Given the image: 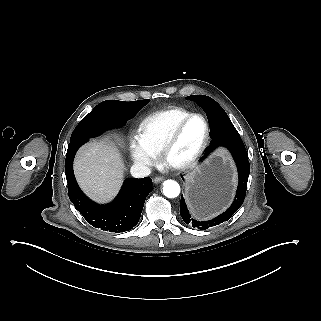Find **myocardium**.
Listing matches in <instances>:
<instances>
[{
	"label": "myocardium",
	"instance_id": "obj_1",
	"mask_svg": "<svg viewBox=\"0 0 321 321\" xmlns=\"http://www.w3.org/2000/svg\"><path fill=\"white\" fill-rule=\"evenodd\" d=\"M200 118L202 119L203 123H204V127H205V134L203 137V140L201 142V144L199 145L198 149L195 151V153L187 160L182 161V162H172L170 160V157L173 153V150L175 148V145L177 143L179 134L182 130V128L193 118ZM209 139H210V125L208 120L205 118V116H203L202 114L199 113H192L186 117H184L183 119H181L180 121H178L174 127L172 128L171 132L169 133L166 141L164 142V145L162 147V157L165 160V162L170 165L171 167H173L174 169L177 170H187L190 169L191 167H193L199 160L200 158L203 156L208 143H209Z\"/></svg>",
	"mask_w": 321,
	"mask_h": 321
}]
</instances>
